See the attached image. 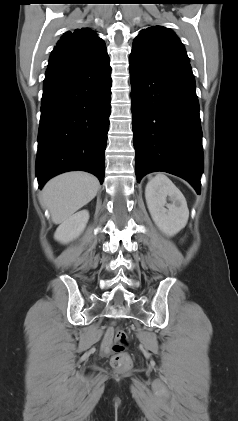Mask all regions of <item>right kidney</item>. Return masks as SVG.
<instances>
[{"label":"right kidney","mask_w":238,"mask_h":421,"mask_svg":"<svg viewBox=\"0 0 238 421\" xmlns=\"http://www.w3.org/2000/svg\"><path fill=\"white\" fill-rule=\"evenodd\" d=\"M88 220L89 212L87 210L73 214L57 228L54 239L63 244L73 241L84 231Z\"/></svg>","instance_id":"right-kidney-1"}]
</instances>
